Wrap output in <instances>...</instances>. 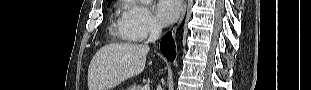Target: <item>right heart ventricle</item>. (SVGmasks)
<instances>
[{
    "instance_id": "obj_1",
    "label": "right heart ventricle",
    "mask_w": 311,
    "mask_h": 90,
    "mask_svg": "<svg viewBox=\"0 0 311 90\" xmlns=\"http://www.w3.org/2000/svg\"><path fill=\"white\" fill-rule=\"evenodd\" d=\"M113 29L119 33L125 40H131L128 37L125 36V34L123 33V30L121 28V22L120 20L114 21L113 22Z\"/></svg>"
}]
</instances>
